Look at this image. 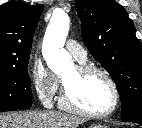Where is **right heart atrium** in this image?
<instances>
[{
    "label": "right heart atrium",
    "instance_id": "1",
    "mask_svg": "<svg viewBox=\"0 0 142 128\" xmlns=\"http://www.w3.org/2000/svg\"><path fill=\"white\" fill-rule=\"evenodd\" d=\"M31 80L38 99L51 104L60 89V80L41 60H34L31 68Z\"/></svg>",
    "mask_w": 142,
    "mask_h": 128
}]
</instances>
